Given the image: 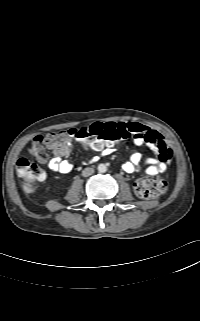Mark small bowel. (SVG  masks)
I'll return each mask as SVG.
<instances>
[{
	"mask_svg": "<svg viewBox=\"0 0 200 321\" xmlns=\"http://www.w3.org/2000/svg\"><path fill=\"white\" fill-rule=\"evenodd\" d=\"M101 125L115 130H121L126 135L125 139H130L137 146L145 144L153 151V156L145 158L138 152L131 153L122 165V169L126 173L143 172L146 175L153 176L166 171L170 159L165 160V157L169 152H172V150L163 135L158 131L137 122H109ZM73 130L74 129H70L69 131ZM113 144V142H108L103 147L95 150L109 154ZM67 151L68 144L62 151H53L54 156L51 158L47 157L41 161V163L47 164L51 171L68 174L72 171L73 165L64 158Z\"/></svg>",
	"mask_w": 200,
	"mask_h": 321,
	"instance_id": "c3829d8e",
	"label": "small bowel"
}]
</instances>
